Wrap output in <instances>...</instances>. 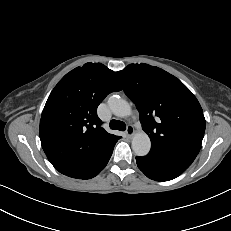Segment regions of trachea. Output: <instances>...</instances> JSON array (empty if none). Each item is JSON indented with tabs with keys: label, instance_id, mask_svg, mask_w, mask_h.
<instances>
[{
	"label": "trachea",
	"instance_id": "obj_1",
	"mask_svg": "<svg viewBox=\"0 0 231 231\" xmlns=\"http://www.w3.org/2000/svg\"><path fill=\"white\" fill-rule=\"evenodd\" d=\"M109 126L113 130L124 131L126 129V124L119 120H111Z\"/></svg>",
	"mask_w": 231,
	"mask_h": 231
}]
</instances>
